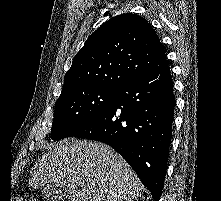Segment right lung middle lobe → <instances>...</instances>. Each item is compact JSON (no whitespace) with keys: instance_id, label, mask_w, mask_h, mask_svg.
Returning <instances> with one entry per match:
<instances>
[{"instance_id":"dd1d6c3e","label":"right lung middle lobe","mask_w":221,"mask_h":201,"mask_svg":"<svg viewBox=\"0 0 221 201\" xmlns=\"http://www.w3.org/2000/svg\"><path fill=\"white\" fill-rule=\"evenodd\" d=\"M116 90L90 88L61 96L56 101L51 138L60 140L101 112L112 101Z\"/></svg>"}]
</instances>
